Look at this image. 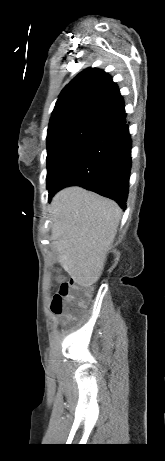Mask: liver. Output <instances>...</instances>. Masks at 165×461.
I'll list each match as a JSON object with an SVG mask.
<instances>
[{
	"mask_svg": "<svg viewBox=\"0 0 165 461\" xmlns=\"http://www.w3.org/2000/svg\"><path fill=\"white\" fill-rule=\"evenodd\" d=\"M50 213L58 262L79 285H93L104 269L122 210L116 202L74 186L53 197Z\"/></svg>",
	"mask_w": 165,
	"mask_h": 461,
	"instance_id": "obj_1",
	"label": "liver"
}]
</instances>
